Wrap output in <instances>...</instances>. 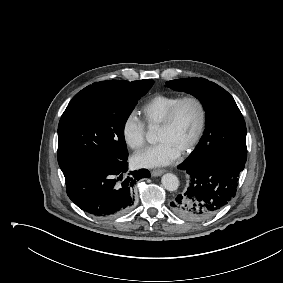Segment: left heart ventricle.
Listing matches in <instances>:
<instances>
[{
    "mask_svg": "<svg viewBox=\"0 0 283 283\" xmlns=\"http://www.w3.org/2000/svg\"><path fill=\"white\" fill-rule=\"evenodd\" d=\"M199 123V110L195 103L186 102L179 110L174 125L158 129L157 140L168 141L180 151L191 141Z\"/></svg>",
    "mask_w": 283,
    "mask_h": 283,
    "instance_id": "b2bd125f",
    "label": "left heart ventricle"
}]
</instances>
